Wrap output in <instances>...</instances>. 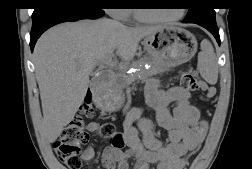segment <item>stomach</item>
<instances>
[{
	"instance_id": "stomach-1",
	"label": "stomach",
	"mask_w": 252,
	"mask_h": 169,
	"mask_svg": "<svg viewBox=\"0 0 252 169\" xmlns=\"http://www.w3.org/2000/svg\"><path fill=\"white\" fill-rule=\"evenodd\" d=\"M142 45L161 70H168L190 60L197 51L195 36L178 26H162L143 38ZM123 98L118 89H110L102 99V107L109 111L121 108Z\"/></svg>"
}]
</instances>
